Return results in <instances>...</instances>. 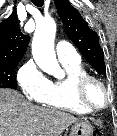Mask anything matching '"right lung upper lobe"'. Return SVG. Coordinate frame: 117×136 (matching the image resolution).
<instances>
[{
	"instance_id": "right-lung-upper-lobe-1",
	"label": "right lung upper lobe",
	"mask_w": 117,
	"mask_h": 136,
	"mask_svg": "<svg viewBox=\"0 0 117 136\" xmlns=\"http://www.w3.org/2000/svg\"><path fill=\"white\" fill-rule=\"evenodd\" d=\"M28 43L29 36L21 32L14 8L12 15L0 24V62H19Z\"/></svg>"
}]
</instances>
